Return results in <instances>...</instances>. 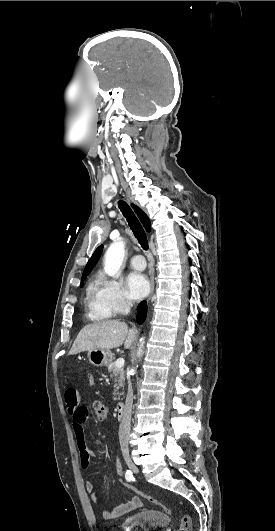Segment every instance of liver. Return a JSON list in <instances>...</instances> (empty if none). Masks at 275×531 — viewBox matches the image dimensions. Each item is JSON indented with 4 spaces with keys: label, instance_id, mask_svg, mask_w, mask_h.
<instances>
[{
    "label": "liver",
    "instance_id": "1",
    "mask_svg": "<svg viewBox=\"0 0 275 531\" xmlns=\"http://www.w3.org/2000/svg\"><path fill=\"white\" fill-rule=\"evenodd\" d=\"M135 329H128L120 321H94L86 325L77 335L69 355H77L91 349H116L124 343V349H130L135 341Z\"/></svg>",
    "mask_w": 275,
    "mask_h": 531
}]
</instances>
